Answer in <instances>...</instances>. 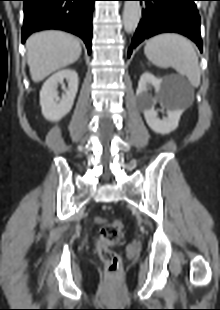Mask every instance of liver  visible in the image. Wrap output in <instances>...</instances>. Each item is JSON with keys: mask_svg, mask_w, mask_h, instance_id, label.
<instances>
[{"mask_svg": "<svg viewBox=\"0 0 220 310\" xmlns=\"http://www.w3.org/2000/svg\"><path fill=\"white\" fill-rule=\"evenodd\" d=\"M27 60L34 82H40L56 70L62 69L81 55L77 38L62 31H43L26 41Z\"/></svg>", "mask_w": 220, "mask_h": 310, "instance_id": "obj_1", "label": "liver"}]
</instances>
